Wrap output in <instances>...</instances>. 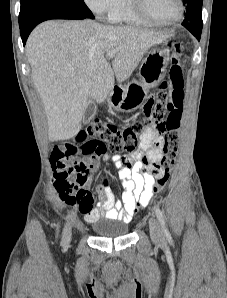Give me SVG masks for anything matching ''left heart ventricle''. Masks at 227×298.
<instances>
[{"label":"left heart ventricle","mask_w":227,"mask_h":298,"mask_svg":"<svg viewBox=\"0 0 227 298\" xmlns=\"http://www.w3.org/2000/svg\"><path fill=\"white\" fill-rule=\"evenodd\" d=\"M148 13L157 20L169 21L178 13L177 0H145Z\"/></svg>","instance_id":"obj_1"}]
</instances>
